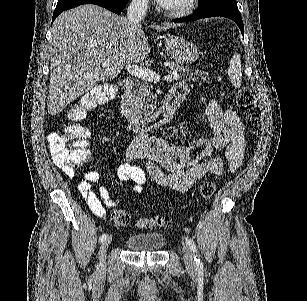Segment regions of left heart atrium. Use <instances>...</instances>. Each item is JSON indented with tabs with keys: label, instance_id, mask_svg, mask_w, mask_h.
<instances>
[{
	"label": "left heart atrium",
	"instance_id": "39dd6f15",
	"mask_svg": "<svg viewBox=\"0 0 307 301\" xmlns=\"http://www.w3.org/2000/svg\"><path fill=\"white\" fill-rule=\"evenodd\" d=\"M171 0H158L159 4H170ZM124 62H138V61H124Z\"/></svg>",
	"mask_w": 307,
	"mask_h": 301
}]
</instances>
